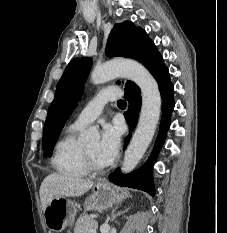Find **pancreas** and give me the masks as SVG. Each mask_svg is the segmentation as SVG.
I'll return each instance as SVG.
<instances>
[{
	"instance_id": "pancreas-1",
	"label": "pancreas",
	"mask_w": 227,
	"mask_h": 233,
	"mask_svg": "<svg viewBox=\"0 0 227 233\" xmlns=\"http://www.w3.org/2000/svg\"><path fill=\"white\" fill-rule=\"evenodd\" d=\"M97 222L87 215H81L75 223L74 233H93L90 229H96Z\"/></svg>"
}]
</instances>
